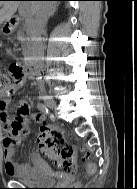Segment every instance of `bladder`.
<instances>
[{
    "label": "bladder",
    "instance_id": "31cf9c89",
    "mask_svg": "<svg viewBox=\"0 0 137 189\" xmlns=\"http://www.w3.org/2000/svg\"><path fill=\"white\" fill-rule=\"evenodd\" d=\"M22 183L31 185H51L57 180V174L47 164L41 163L32 167L27 175H14Z\"/></svg>",
    "mask_w": 137,
    "mask_h": 189
}]
</instances>
